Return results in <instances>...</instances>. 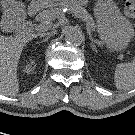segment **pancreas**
<instances>
[{
    "instance_id": "obj_1",
    "label": "pancreas",
    "mask_w": 135,
    "mask_h": 135,
    "mask_svg": "<svg viewBox=\"0 0 135 135\" xmlns=\"http://www.w3.org/2000/svg\"><path fill=\"white\" fill-rule=\"evenodd\" d=\"M66 5L79 17L83 18L88 27L92 30L98 29L91 15L81 6V2L78 0H67ZM63 14L62 7L51 8L43 10L36 16V21H40L42 25H48V29L51 28V22L56 18H59Z\"/></svg>"
}]
</instances>
